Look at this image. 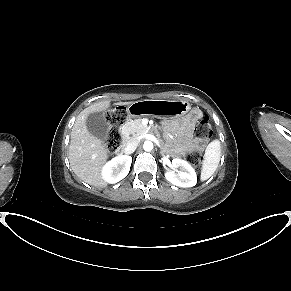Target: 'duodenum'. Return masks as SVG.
<instances>
[{"mask_svg":"<svg viewBox=\"0 0 291 291\" xmlns=\"http://www.w3.org/2000/svg\"><path fill=\"white\" fill-rule=\"evenodd\" d=\"M126 143H127V139L124 137L123 138V142L120 144V146H118L116 148V152L118 154H121L123 152V150H125L127 148V144Z\"/></svg>","mask_w":291,"mask_h":291,"instance_id":"410a0bca","label":"duodenum"}]
</instances>
